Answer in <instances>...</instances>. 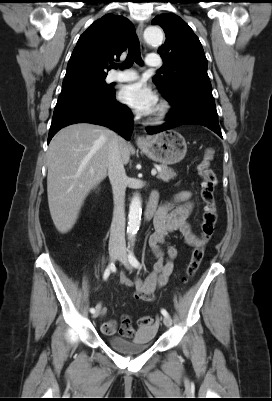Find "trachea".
<instances>
[{
	"label": "trachea",
	"mask_w": 272,
	"mask_h": 401,
	"mask_svg": "<svg viewBox=\"0 0 272 401\" xmlns=\"http://www.w3.org/2000/svg\"><path fill=\"white\" fill-rule=\"evenodd\" d=\"M136 62L139 65L143 64L141 53H140V43L136 35L132 36L129 44V51L125 62L122 64L121 69L129 68L132 64ZM120 65L112 64L111 67L117 69Z\"/></svg>",
	"instance_id": "obj_1"
}]
</instances>
